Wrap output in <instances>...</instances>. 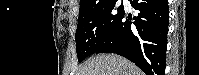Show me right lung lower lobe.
Returning a JSON list of instances; mask_svg holds the SVG:
<instances>
[{
    "label": "right lung lower lobe",
    "instance_id": "obj_1",
    "mask_svg": "<svg viewBox=\"0 0 199 75\" xmlns=\"http://www.w3.org/2000/svg\"><path fill=\"white\" fill-rule=\"evenodd\" d=\"M138 13L132 22L125 12L98 53H116L135 63L146 75H165L169 7L167 0H130Z\"/></svg>",
    "mask_w": 199,
    "mask_h": 75
}]
</instances>
